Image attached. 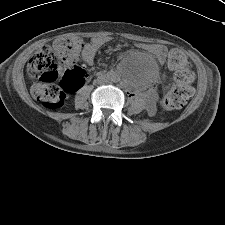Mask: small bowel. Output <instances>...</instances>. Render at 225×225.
<instances>
[{
	"mask_svg": "<svg viewBox=\"0 0 225 225\" xmlns=\"http://www.w3.org/2000/svg\"><path fill=\"white\" fill-rule=\"evenodd\" d=\"M108 41L106 37H96L93 38L90 42L86 43L82 49L81 58L83 63L87 65H92L94 62L95 55L97 51ZM145 49L152 53L159 63H163L166 54H167V48L163 45L159 44H152V45H146ZM154 108L151 106V111H153Z\"/></svg>",
	"mask_w": 225,
	"mask_h": 225,
	"instance_id": "obj_1",
	"label": "small bowel"
}]
</instances>
